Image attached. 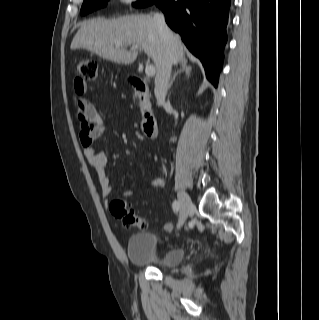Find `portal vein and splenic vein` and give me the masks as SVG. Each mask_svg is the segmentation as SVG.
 I'll return each instance as SVG.
<instances>
[{
	"label": "portal vein and splenic vein",
	"instance_id": "obj_1",
	"mask_svg": "<svg viewBox=\"0 0 319 320\" xmlns=\"http://www.w3.org/2000/svg\"><path fill=\"white\" fill-rule=\"evenodd\" d=\"M155 67L153 65H147L145 68V73L148 77H152L155 75Z\"/></svg>",
	"mask_w": 319,
	"mask_h": 320
}]
</instances>
